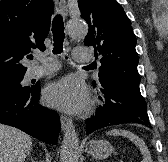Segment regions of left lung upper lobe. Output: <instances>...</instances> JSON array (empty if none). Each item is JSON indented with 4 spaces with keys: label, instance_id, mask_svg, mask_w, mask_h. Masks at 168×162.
<instances>
[{
    "label": "left lung upper lobe",
    "instance_id": "5c2ea615",
    "mask_svg": "<svg viewBox=\"0 0 168 162\" xmlns=\"http://www.w3.org/2000/svg\"><path fill=\"white\" fill-rule=\"evenodd\" d=\"M78 5L89 25L84 44L93 46L102 56L99 81H93L94 87L108 79L139 85L137 40L122 6L115 0H78Z\"/></svg>",
    "mask_w": 168,
    "mask_h": 162
}]
</instances>
